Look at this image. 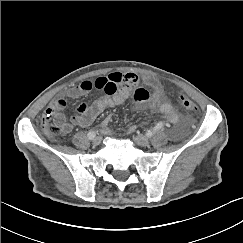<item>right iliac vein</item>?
<instances>
[{
    "instance_id": "right-iliac-vein-1",
    "label": "right iliac vein",
    "mask_w": 243,
    "mask_h": 243,
    "mask_svg": "<svg viewBox=\"0 0 243 243\" xmlns=\"http://www.w3.org/2000/svg\"><path fill=\"white\" fill-rule=\"evenodd\" d=\"M92 143L97 146L101 143V138L99 136L93 138Z\"/></svg>"
}]
</instances>
